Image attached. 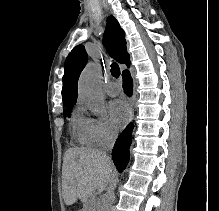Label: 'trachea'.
Listing matches in <instances>:
<instances>
[{
    "label": "trachea",
    "instance_id": "1",
    "mask_svg": "<svg viewBox=\"0 0 219 211\" xmlns=\"http://www.w3.org/2000/svg\"><path fill=\"white\" fill-rule=\"evenodd\" d=\"M111 74L115 78H118L120 76V68L117 63L113 62L111 65Z\"/></svg>",
    "mask_w": 219,
    "mask_h": 211
}]
</instances>
